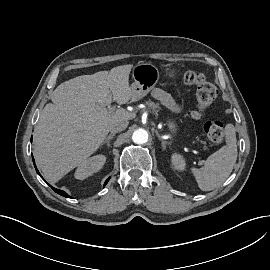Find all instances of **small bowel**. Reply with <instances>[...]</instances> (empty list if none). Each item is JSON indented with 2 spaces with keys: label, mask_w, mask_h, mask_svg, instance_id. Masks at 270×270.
<instances>
[{
  "label": "small bowel",
  "mask_w": 270,
  "mask_h": 270,
  "mask_svg": "<svg viewBox=\"0 0 270 270\" xmlns=\"http://www.w3.org/2000/svg\"><path fill=\"white\" fill-rule=\"evenodd\" d=\"M151 94L155 99L161 101L163 104L167 105L172 110L175 111L179 110L177 104L173 102L168 96V94L161 88H154Z\"/></svg>",
  "instance_id": "small-bowel-1"
}]
</instances>
